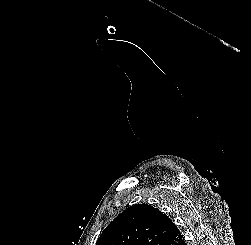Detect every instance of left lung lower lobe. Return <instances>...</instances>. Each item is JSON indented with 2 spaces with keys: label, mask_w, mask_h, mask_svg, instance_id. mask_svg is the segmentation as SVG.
Listing matches in <instances>:
<instances>
[{
  "label": "left lung lower lobe",
  "mask_w": 251,
  "mask_h": 245,
  "mask_svg": "<svg viewBox=\"0 0 251 245\" xmlns=\"http://www.w3.org/2000/svg\"><path fill=\"white\" fill-rule=\"evenodd\" d=\"M178 245H186V243L184 240H182L180 243H178Z\"/></svg>",
  "instance_id": "1"
}]
</instances>
